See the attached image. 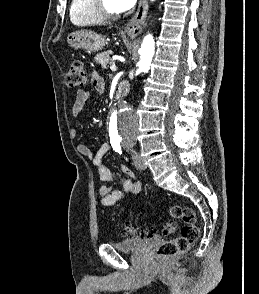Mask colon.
Listing matches in <instances>:
<instances>
[{
  "label": "colon",
  "mask_w": 259,
  "mask_h": 294,
  "mask_svg": "<svg viewBox=\"0 0 259 294\" xmlns=\"http://www.w3.org/2000/svg\"><path fill=\"white\" fill-rule=\"evenodd\" d=\"M88 82V74L80 60H73L65 74L67 88L84 87ZM170 215L184 223L180 235L174 239L164 241L157 249L160 258H169L186 252L199 238L200 230L196 225V214L192 208L174 205L170 208ZM178 228L176 221H169L163 227L164 233H172ZM125 234L129 236L147 237L155 234L153 228L135 227L127 225Z\"/></svg>",
  "instance_id": "5ec220e1"
}]
</instances>
